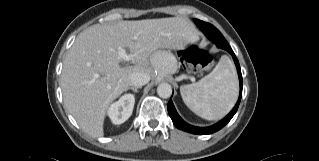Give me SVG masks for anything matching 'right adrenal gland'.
I'll list each match as a JSON object with an SVG mask.
<instances>
[{"instance_id": "1", "label": "right adrenal gland", "mask_w": 319, "mask_h": 161, "mask_svg": "<svg viewBox=\"0 0 319 161\" xmlns=\"http://www.w3.org/2000/svg\"><path fill=\"white\" fill-rule=\"evenodd\" d=\"M139 87H130L128 89L132 90L133 92L137 93Z\"/></svg>"}]
</instances>
